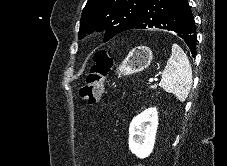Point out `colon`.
Here are the masks:
<instances>
[{
	"label": "colon",
	"instance_id": "5ec220e1",
	"mask_svg": "<svg viewBox=\"0 0 227 166\" xmlns=\"http://www.w3.org/2000/svg\"><path fill=\"white\" fill-rule=\"evenodd\" d=\"M112 67L111 59L104 51L94 57V65L87 75L85 84L80 88V98L84 103L97 104L102 96L105 77Z\"/></svg>",
	"mask_w": 227,
	"mask_h": 166
}]
</instances>
